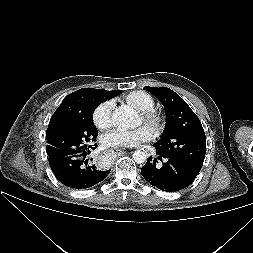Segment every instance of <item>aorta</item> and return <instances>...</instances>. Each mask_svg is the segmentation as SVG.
Instances as JSON below:
<instances>
[{
    "instance_id": "762f6f07",
    "label": "aorta",
    "mask_w": 253,
    "mask_h": 253,
    "mask_svg": "<svg viewBox=\"0 0 253 253\" xmlns=\"http://www.w3.org/2000/svg\"><path fill=\"white\" fill-rule=\"evenodd\" d=\"M138 115L134 109L130 107H118L112 114V122L115 126L122 129L133 128L137 125ZM147 155L141 150H137L133 153V160L142 164L146 161Z\"/></svg>"
}]
</instances>
